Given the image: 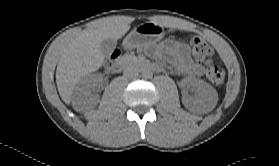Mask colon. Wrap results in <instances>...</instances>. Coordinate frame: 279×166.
I'll list each match as a JSON object with an SVG mask.
<instances>
[{
    "label": "colon",
    "mask_w": 279,
    "mask_h": 166,
    "mask_svg": "<svg viewBox=\"0 0 279 166\" xmlns=\"http://www.w3.org/2000/svg\"><path fill=\"white\" fill-rule=\"evenodd\" d=\"M189 43L192 48V53L197 60H201L212 54L211 47L199 37H191ZM118 55V51L113 52L107 59V64H112ZM206 77L214 85H221L225 79V70L219 65L211 64L206 69Z\"/></svg>",
    "instance_id": "5ec220e1"
}]
</instances>
